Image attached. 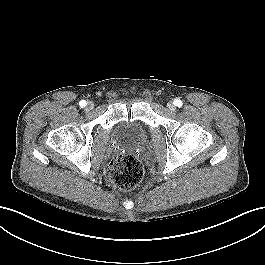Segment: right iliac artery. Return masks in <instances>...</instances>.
<instances>
[{"instance_id":"82829eb1","label":"right iliac artery","mask_w":265,"mask_h":265,"mask_svg":"<svg viewBox=\"0 0 265 265\" xmlns=\"http://www.w3.org/2000/svg\"><path fill=\"white\" fill-rule=\"evenodd\" d=\"M79 105L83 108V107H85V106L87 105V103H86L85 100H81V101L79 102Z\"/></svg>"}]
</instances>
